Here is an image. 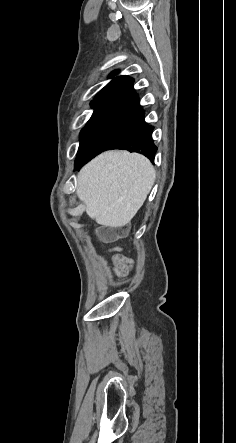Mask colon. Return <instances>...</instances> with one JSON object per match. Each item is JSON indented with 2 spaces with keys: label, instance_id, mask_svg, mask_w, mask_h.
<instances>
[{
  "label": "colon",
  "instance_id": "colon-1",
  "mask_svg": "<svg viewBox=\"0 0 236 443\" xmlns=\"http://www.w3.org/2000/svg\"><path fill=\"white\" fill-rule=\"evenodd\" d=\"M128 227L126 225L106 228L102 231L106 241H115L127 234Z\"/></svg>",
  "mask_w": 236,
  "mask_h": 443
}]
</instances>
